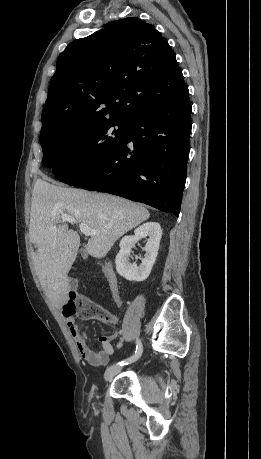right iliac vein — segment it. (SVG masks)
<instances>
[{
    "label": "right iliac vein",
    "mask_w": 261,
    "mask_h": 459,
    "mask_svg": "<svg viewBox=\"0 0 261 459\" xmlns=\"http://www.w3.org/2000/svg\"><path fill=\"white\" fill-rule=\"evenodd\" d=\"M122 367L120 365H113L109 367L104 374V379L106 381L111 380L116 374H118L121 371Z\"/></svg>",
    "instance_id": "obj_1"
}]
</instances>
